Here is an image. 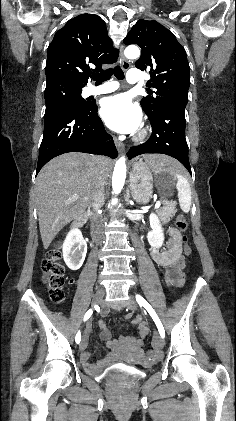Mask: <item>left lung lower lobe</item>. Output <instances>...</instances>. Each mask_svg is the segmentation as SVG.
<instances>
[{
    "label": "left lung lower lobe",
    "instance_id": "1",
    "mask_svg": "<svg viewBox=\"0 0 236 421\" xmlns=\"http://www.w3.org/2000/svg\"><path fill=\"white\" fill-rule=\"evenodd\" d=\"M186 104L171 102L162 107L154 116L148 117L152 135L144 144L131 147L129 159L146 153H160L179 160L191 174L188 145L185 138Z\"/></svg>",
    "mask_w": 236,
    "mask_h": 421
}]
</instances>
